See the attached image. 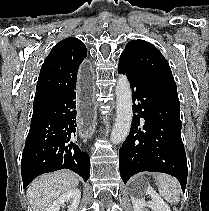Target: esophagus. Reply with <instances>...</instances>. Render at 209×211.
<instances>
[{
  "mask_svg": "<svg viewBox=\"0 0 209 211\" xmlns=\"http://www.w3.org/2000/svg\"><path fill=\"white\" fill-rule=\"evenodd\" d=\"M86 64H81L79 67L76 79L79 81V86L75 97V108L77 109V130L79 133H83L81 140L85 141L87 134L94 133L96 130V121H98L97 104H95L94 93V67L90 63L89 59L85 60Z\"/></svg>",
  "mask_w": 209,
  "mask_h": 211,
  "instance_id": "1",
  "label": "esophagus"
}]
</instances>
